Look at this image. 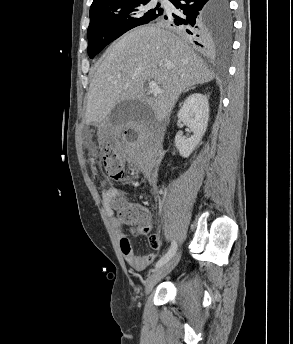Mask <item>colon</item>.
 Listing matches in <instances>:
<instances>
[{
    "label": "colon",
    "mask_w": 293,
    "mask_h": 344,
    "mask_svg": "<svg viewBox=\"0 0 293 344\" xmlns=\"http://www.w3.org/2000/svg\"><path fill=\"white\" fill-rule=\"evenodd\" d=\"M130 139H135V132L129 133ZM102 163L106 173L116 180L125 179L128 176L124 162L111 148L105 147L102 151ZM112 207L117 211L118 218L128 226L140 233L150 232V224L147 211L140 206L129 203L122 194L115 195L111 200Z\"/></svg>",
    "instance_id": "5ec220e1"
}]
</instances>
